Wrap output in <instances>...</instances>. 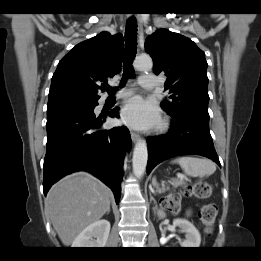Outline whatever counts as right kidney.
I'll return each mask as SVG.
<instances>
[{
	"label": "right kidney",
	"instance_id": "right-kidney-1",
	"mask_svg": "<svg viewBox=\"0 0 261 261\" xmlns=\"http://www.w3.org/2000/svg\"><path fill=\"white\" fill-rule=\"evenodd\" d=\"M110 233V222L99 220L87 226L73 241V248H103Z\"/></svg>",
	"mask_w": 261,
	"mask_h": 261
}]
</instances>
